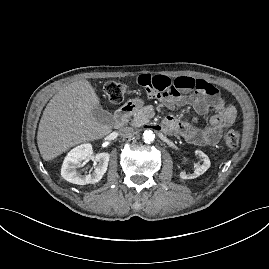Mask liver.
I'll list each match as a JSON object with an SVG mask.
<instances>
[{
    "label": "liver",
    "instance_id": "6515ba94",
    "mask_svg": "<svg viewBox=\"0 0 269 269\" xmlns=\"http://www.w3.org/2000/svg\"><path fill=\"white\" fill-rule=\"evenodd\" d=\"M97 106L99 97L87 80L68 84L55 94L39 123L37 143L42 158L50 161L75 145L108 135L112 125L94 118Z\"/></svg>",
    "mask_w": 269,
    "mask_h": 269
}]
</instances>
